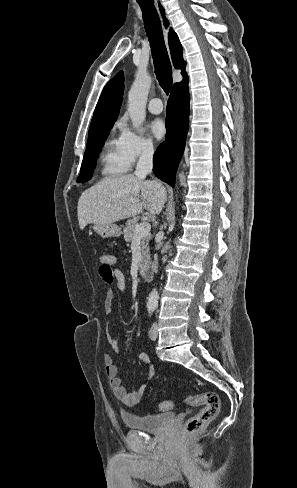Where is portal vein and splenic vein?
I'll return each instance as SVG.
<instances>
[{
  "label": "portal vein and splenic vein",
  "mask_w": 297,
  "mask_h": 488,
  "mask_svg": "<svg viewBox=\"0 0 297 488\" xmlns=\"http://www.w3.org/2000/svg\"><path fill=\"white\" fill-rule=\"evenodd\" d=\"M150 229L151 225L148 222H142L140 224H137L134 231V240L146 235L148 232H150Z\"/></svg>",
  "instance_id": "18ae733b"
}]
</instances>
